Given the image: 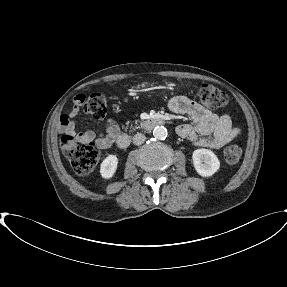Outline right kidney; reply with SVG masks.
<instances>
[{"instance_id":"right-kidney-1","label":"right kidney","mask_w":287,"mask_h":287,"mask_svg":"<svg viewBox=\"0 0 287 287\" xmlns=\"http://www.w3.org/2000/svg\"><path fill=\"white\" fill-rule=\"evenodd\" d=\"M118 158L115 155H108L100 166V174L104 179H110L116 172Z\"/></svg>"}]
</instances>
